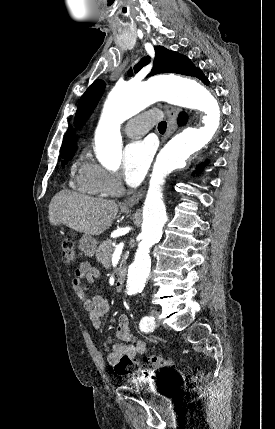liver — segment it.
Listing matches in <instances>:
<instances>
[{"instance_id": "liver-1", "label": "liver", "mask_w": 275, "mask_h": 429, "mask_svg": "<svg viewBox=\"0 0 275 429\" xmlns=\"http://www.w3.org/2000/svg\"><path fill=\"white\" fill-rule=\"evenodd\" d=\"M118 209L115 201L63 190L52 198L48 217L54 226L63 224L86 235L97 236L112 225Z\"/></svg>"}]
</instances>
